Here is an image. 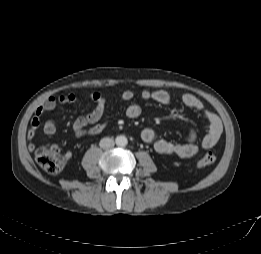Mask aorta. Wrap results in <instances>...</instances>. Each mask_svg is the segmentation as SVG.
Returning <instances> with one entry per match:
<instances>
[{
  "instance_id": "aorta-1",
  "label": "aorta",
  "mask_w": 261,
  "mask_h": 254,
  "mask_svg": "<svg viewBox=\"0 0 261 254\" xmlns=\"http://www.w3.org/2000/svg\"><path fill=\"white\" fill-rule=\"evenodd\" d=\"M115 142L118 146H126L128 143V140L124 135H119L116 137Z\"/></svg>"
}]
</instances>
